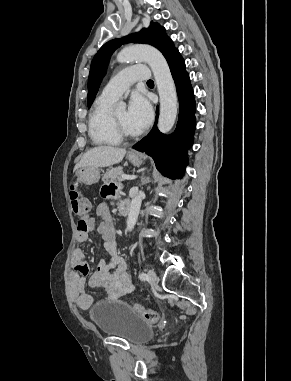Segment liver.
Segmentation results:
<instances>
[{"instance_id":"liver-1","label":"liver","mask_w":291,"mask_h":381,"mask_svg":"<svg viewBox=\"0 0 291 381\" xmlns=\"http://www.w3.org/2000/svg\"><path fill=\"white\" fill-rule=\"evenodd\" d=\"M126 154V149L112 146H98L87 151L75 165L74 171L84 167H108L120 163Z\"/></svg>"}]
</instances>
